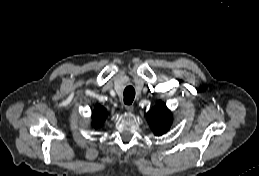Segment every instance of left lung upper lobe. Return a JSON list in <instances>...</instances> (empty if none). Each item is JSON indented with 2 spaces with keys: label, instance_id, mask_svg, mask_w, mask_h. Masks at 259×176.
I'll use <instances>...</instances> for the list:
<instances>
[{
  "label": "left lung upper lobe",
  "instance_id": "left-lung-upper-lobe-1",
  "mask_svg": "<svg viewBox=\"0 0 259 176\" xmlns=\"http://www.w3.org/2000/svg\"><path fill=\"white\" fill-rule=\"evenodd\" d=\"M147 120L154 134L159 136L168 131L172 124V114L166 105L159 101L151 111L147 113Z\"/></svg>",
  "mask_w": 259,
  "mask_h": 176
}]
</instances>
